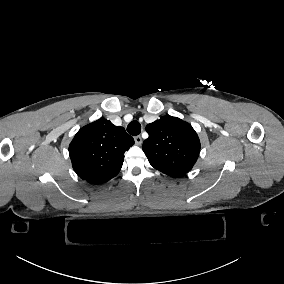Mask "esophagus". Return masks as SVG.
<instances>
[{
  "label": "esophagus",
  "mask_w": 284,
  "mask_h": 284,
  "mask_svg": "<svg viewBox=\"0 0 284 284\" xmlns=\"http://www.w3.org/2000/svg\"><path fill=\"white\" fill-rule=\"evenodd\" d=\"M134 141H135L136 145H141L142 144L141 136H139V135L135 136Z\"/></svg>",
  "instance_id": "esophagus-1"
}]
</instances>
